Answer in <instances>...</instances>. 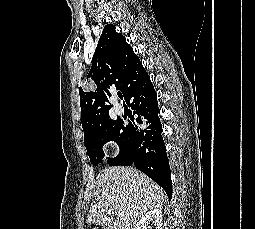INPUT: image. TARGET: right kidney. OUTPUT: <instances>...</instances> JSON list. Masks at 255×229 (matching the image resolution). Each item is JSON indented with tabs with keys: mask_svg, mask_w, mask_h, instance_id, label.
<instances>
[{
	"mask_svg": "<svg viewBox=\"0 0 255 229\" xmlns=\"http://www.w3.org/2000/svg\"><path fill=\"white\" fill-rule=\"evenodd\" d=\"M150 222L153 223L155 229H162V211L160 208H155L145 213L135 225V229H148Z\"/></svg>",
	"mask_w": 255,
	"mask_h": 229,
	"instance_id": "obj_1",
	"label": "right kidney"
}]
</instances>
